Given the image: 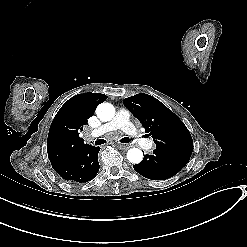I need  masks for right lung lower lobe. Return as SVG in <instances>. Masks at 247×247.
Returning a JSON list of instances; mask_svg holds the SVG:
<instances>
[{
	"label": "right lung lower lobe",
	"instance_id": "1",
	"mask_svg": "<svg viewBox=\"0 0 247 247\" xmlns=\"http://www.w3.org/2000/svg\"><path fill=\"white\" fill-rule=\"evenodd\" d=\"M100 148L87 146L74 157L54 170L65 180L84 183L92 180L99 171L98 152Z\"/></svg>",
	"mask_w": 247,
	"mask_h": 247
}]
</instances>
